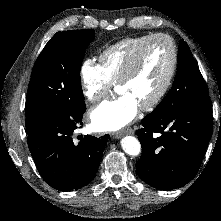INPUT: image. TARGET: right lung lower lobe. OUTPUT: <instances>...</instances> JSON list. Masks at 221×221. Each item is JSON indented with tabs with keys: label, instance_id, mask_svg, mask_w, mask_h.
Instances as JSON below:
<instances>
[{
	"label": "right lung lower lobe",
	"instance_id": "obj_1",
	"mask_svg": "<svg viewBox=\"0 0 221 221\" xmlns=\"http://www.w3.org/2000/svg\"><path fill=\"white\" fill-rule=\"evenodd\" d=\"M84 109H65L45 116L28 133V147L41 176L61 191L80 189L97 173L109 135H90L74 144L72 134L82 125Z\"/></svg>",
	"mask_w": 221,
	"mask_h": 221
}]
</instances>
